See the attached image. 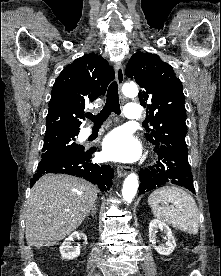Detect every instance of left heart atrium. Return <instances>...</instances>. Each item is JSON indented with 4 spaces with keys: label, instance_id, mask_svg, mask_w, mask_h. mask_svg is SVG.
I'll return each instance as SVG.
<instances>
[{
    "label": "left heart atrium",
    "instance_id": "left-heart-atrium-1",
    "mask_svg": "<svg viewBox=\"0 0 221 276\" xmlns=\"http://www.w3.org/2000/svg\"><path fill=\"white\" fill-rule=\"evenodd\" d=\"M139 153L137 141L122 128L113 130L103 141V156L108 160L131 162Z\"/></svg>",
    "mask_w": 221,
    "mask_h": 276
}]
</instances>
